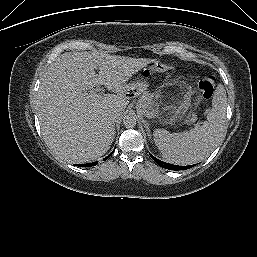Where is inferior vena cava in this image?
<instances>
[{"label": "inferior vena cava", "instance_id": "obj_1", "mask_svg": "<svg viewBox=\"0 0 257 257\" xmlns=\"http://www.w3.org/2000/svg\"><path fill=\"white\" fill-rule=\"evenodd\" d=\"M121 114L118 112H113L110 114L109 118L112 122H116L120 119Z\"/></svg>", "mask_w": 257, "mask_h": 257}]
</instances>
